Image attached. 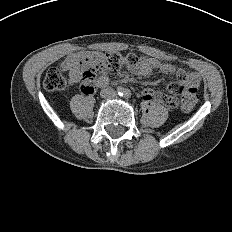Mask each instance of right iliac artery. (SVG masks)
Instances as JSON below:
<instances>
[{"instance_id": "right-iliac-artery-1", "label": "right iliac artery", "mask_w": 232, "mask_h": 232, "mask_svg": "<svg viewBox=\"0 0 232 232\" xmlns=\"http://www.w3.org/2000/svg\"><path fill=\"white\" fill-rule=\"evenodd\" d=\"M117 92L119 95H123V89L121 87H118Z\"/></svg>"}]
</instances>
